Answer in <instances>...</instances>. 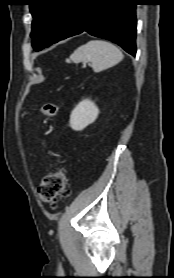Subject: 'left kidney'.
Returning a JSON list of instances; mask_svg holds the SVG:
<instances>
[{"label": "left kidney", "mask_w": 174, "mask_h": 278, "mask_svg": "<svg viewBox=\"0 0 174 278\" xmlns=\"http://www.w3.org/2000/svg\"><path fill=\"white\" fill-rule=\"evenodd\" d=\"M99 114V109L89 99L81 101L71 112L70 126L73 130L81 131L93 123Z\"/></svg>", "instance_id": "1"}]
</instances>
